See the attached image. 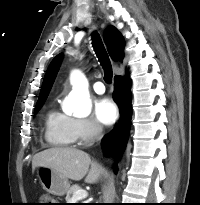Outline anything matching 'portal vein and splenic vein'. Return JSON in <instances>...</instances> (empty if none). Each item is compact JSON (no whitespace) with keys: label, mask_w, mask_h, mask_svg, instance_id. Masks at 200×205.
<instances>
[{"label":"portal vein and splenic vein","mask_w":200,"mask_h":205,"mask_svg":"<svg viewBox=\"0 0 200 205\" xmlns=\"http://www.w3.org/2000/svg\"><path fill=\"white\" fill-rule=\"evenodd\" d=\"M88 196V193L85 190H78L72 197V201L82 200Z\"/></svg>","instance_id":"1"}]
</instances>
